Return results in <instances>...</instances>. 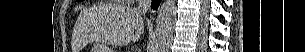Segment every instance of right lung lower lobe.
<instances>
[{"label": "right lung lower lobe", "instance_id": "98d812e1", "mask_svg": "<svg viewBox=\"0 0 305 52\" xmlns=\"http://www.w3.org/2000/svg\"><path fill=\"white\" fill-rule=\"evenodd\" d=\"M159 3H160V0H153V2H152V7H153L154 9H157Z\"/></svg>", "mask_w": 305, "mask_h": 52}]
</instances>
